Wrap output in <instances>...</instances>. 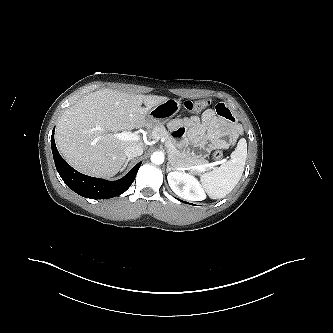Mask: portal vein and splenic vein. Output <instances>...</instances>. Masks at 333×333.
<instances>
[{
  "instance_id": "obj_1",
  "label": "portal vein and splenic vein",
  "mask_w": 333,
  "mask_h": 333,
  "mask_svg": "<svg viewBox=\"0 0 333 333\" xmlns=\"http://www.w3.org/2000/svg\"><path fill=\"white\" fill-rule=\"evenodd\" d=\"M117 139L123 140V141H137L140 139V136L137 133H130L127 131H123L121 133H116L114 135ZM163 139V138H162ZM225 160L219 161L218 164L223 163ZM213 166L212 164H203V165H196V166H191L190 168L192 170H197L200 172H204L207 167Z\"/></svg>"
}]
</instances>
